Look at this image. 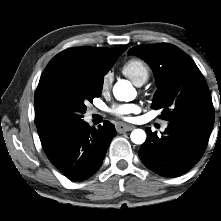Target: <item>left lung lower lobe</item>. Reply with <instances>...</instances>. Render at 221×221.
<instances>
[{
  "label": "left lung lower lobe",
  "mask_w": 221,
  "mask_h": 221,
  "mask_svg": "<svg viewBox=\"0 0 221 221\" xmlns=\"http://www.w3.org/2000/svg\"><path fill=\"white\" fill-rule=\"evenodd\" d=\"M139 149L143 164L160 176H177L193 167L202 157L208 136L186 124L169 123L158 137L150 128Z\"/></svg>",
  "instance_id": "0a47b994"
}]
</instances>
